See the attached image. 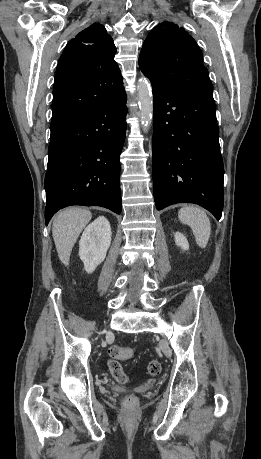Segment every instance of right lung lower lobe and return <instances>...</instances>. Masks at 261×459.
I'll return each mask as SVG.
<instances>
[{
    "label": "right lung lower lobe",
    "mask_w": 261,
    "mask_h": 459,
    "mask_svg": "<svg viewBox=\"0 0 261 459\" xmlns=\"http://www.w3.org/2000/svg\"><path fill=\"white\" fill-rule=\"evenodd\" d=\"M121 89L84 116L51 134L45 176L46 225L71 205L102 206L120 214V161L126 132Z\"/></svg>",
    "instance_id": "1"
}]
</instances>
